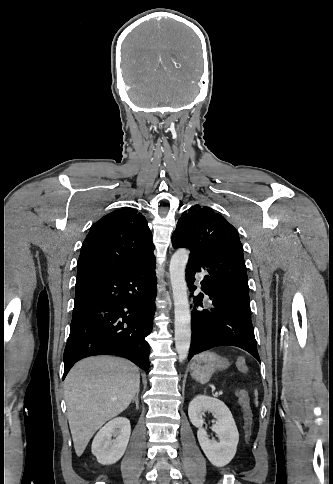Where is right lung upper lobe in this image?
Returning <instances> with one entry per match:
<instances>
[{"instance_id":"1","label":"right lung upper lobe","mask_w":333,"mask_h":484,"mask_svg":"<svg viewBox=\"0 0 333 484\" xmlns=\"http://www.w3.org/2000/svg\"><path fill=\"white\" fill-rule=\"evenodd\" d=\"M152 233L133 208L115 210L97 221L84 240L77 276L99 271H129L155 260Z\"/></svg>"}]
</instances>
